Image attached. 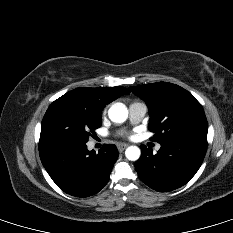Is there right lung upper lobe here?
<instances>
[{"instance_id":"right-lung-upper-lobe-1","label":"right lung upper lobe","mask_w":233,"mask_h":233,"mask_svg":"<svg viewBox=\"0 0 233 233\" xmlns=\"http://www.w3.org/2000/svg\"><path fill=\"white\" fill-rule=\"evenodd\" d=\"M129 90L124 87H100V88H76L68 93L74 100L80 104L101 112L102 109L118 97L129 94Z\"/></svg>"}]
</instances>
